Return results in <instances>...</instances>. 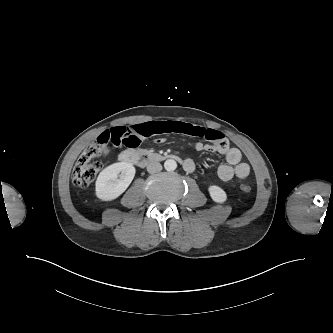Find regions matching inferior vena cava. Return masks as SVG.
Here are the masks:
<instances>
[{
    "label": "inferior vena cava",
    "mask_w": 333,
    "mask_h": 333,
    "mask_svg": "<svg viewBox=\"0 0 333 333\" xmlns=\"http://www.w3.org/2000/svg\"><path fill=\"white\" fill-rule=\"evenodd\" d=\"M161 170H162V165L159 162H153L147 166V171L149 173H157L160 172Z\"/></svg>",
    "instance_id": "obj_1"
}]
</instances>
